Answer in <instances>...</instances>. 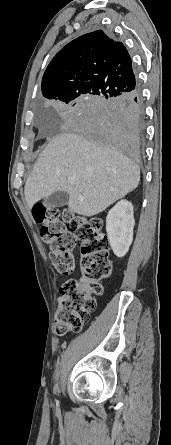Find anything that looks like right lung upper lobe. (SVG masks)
Instances as JSON below:
<instances>
[{"label": "right lung upper lobe", "mask_w": 171, "mask_h": 445, "mask_svg": "<svg viewBox=\"0 0 171 445\" xmlns=\"http://www.w3.org/2000/svg\"><path fill=\"white\" fill-rule=\"evenodd\" d=\"M136 88L128 51L102 30L68 43L52 59L42 79L43 96L55 100L84 92L122 97Z\"/></svg>", "instance_id": "1"}]
</instances>
